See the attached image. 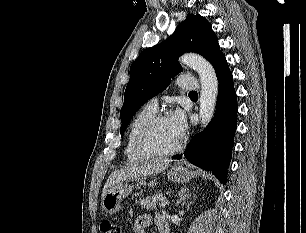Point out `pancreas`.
<instances>
[{"label":"pancreas","mask_w":306,"mask_h":233,"mask_svg":"<svg viewBox=\"0 0 306 233\" xmlns=\"http://www.w3.org/2000/svg\"><path fill=\"white\" fill-rule=\"evenodd\" d=\"M164 196L162 193L155 194L152 196H147L146 198L140 199L139 204L146 209H153L156 208V204L160 201H163Z\"/></svg>","instance_id":"cf45deb5"}]
</instances>
